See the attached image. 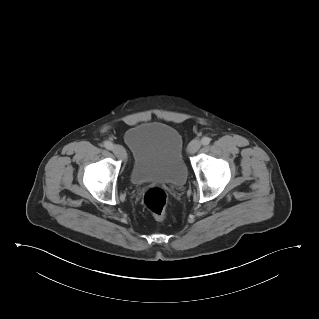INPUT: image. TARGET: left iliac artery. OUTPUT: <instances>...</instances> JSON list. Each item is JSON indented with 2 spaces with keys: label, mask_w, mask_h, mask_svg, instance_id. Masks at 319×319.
<instances>
[{
  "label": "left iliac artery",
  "mask_w": 319,
  "mask_h": 319,
  "mask_svg": "<svg viewBox=\"0 0 319 319\" xmlns=\"http://www.w3.org/2000/svg\"><path fill=\"white\" fill-rule=\"evenodd\" d=\"M211 139L209 137H203L201 140L202 145L206 146L210 143Z\"/></svg>",
  "instance_id": "44dca946"
}]
</instances>
